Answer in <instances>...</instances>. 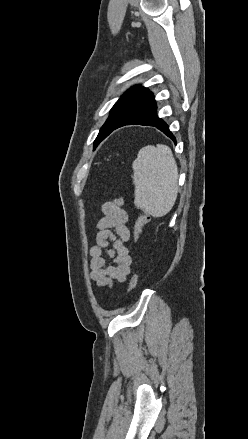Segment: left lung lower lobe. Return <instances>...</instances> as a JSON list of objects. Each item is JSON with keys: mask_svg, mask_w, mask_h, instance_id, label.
Segmentation results:
<instances>
[{"mask_svg": "<svg viewBox=\"0 0 248 439\" xmlns=\"http://www.w3.org/2000/svg\"><path fill=\"white\" fill-rule=\"evenodd\" d=\"M125 125L153 126L176 142L168 125L157 116L156 102L154 100V95L151 92H149L145 98L109 132V134L115 129Z\"/></svg>", "mask_w": 248, "mask_h": 439, "instance_id": "left-lung-lower-lobe-1", "label": "left lung lower lobe"}]
</instances>
